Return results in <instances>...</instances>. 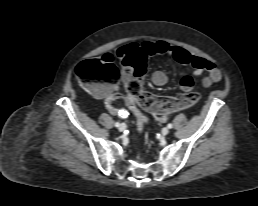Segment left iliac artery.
Segmentation results:
<instances>
[{
	"label": "left iliac artery",
	"instance_id": "1",
	"mask_svg": "<svg viewBox=\"0 0 258 206\" xmlns=\"http://www.w3.org/2000/svg\"><path fill=\"white\" fill-rule=\"evenodd\" d=\"M167 127H168L169 129H171V128L173 127V125L169 123V124L167 125Z\"/></svg>",
	"mask_w": 258,
	"mask_h": 206
}]
</instances>
